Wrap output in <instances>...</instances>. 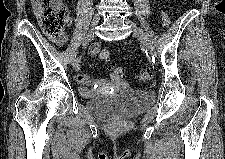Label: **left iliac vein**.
<instances>
[{"label":"left iliac vein","mask_w":225,"mask_h":159,"mask_svg":"<svg viewBox=\"0 0 225 159\" xmlns=\"http://www.w3.org/2000/svg\"><path fill=\"white\" fill-rule=\"evenodd\" d=\"M126 23L131 26L134 36L137 37L140 40V42L142 43L144 48L148 51V53L153 55L154 54V47H153L151 41L148 39L144 30L141 29L135 23H133L129 20H127Z\"/></svg>","instance_id":"obj_1"}]
</instances>
